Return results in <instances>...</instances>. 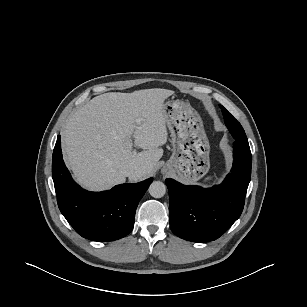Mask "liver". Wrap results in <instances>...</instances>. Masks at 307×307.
Segmentation results:
<instances>
[{"label":"liver","mask_w":307,"mask_h":307,"mask_svg":"<svg viewBox=\"0 0 307 307\" xmlns=\"http://www.w3.org/2000/svg\"><path fill=\"white\" fill-rule=\"evenodd\" d=\"M173 94L160 88L110 92L77 110L62 131L64 158L76 181L100 191L124 183L129 168L141 171L132 181L149 177L167 142L163 106ZM131 138L143 151L132 150Z\"/></svg>","instance_id":"obj_1"}]
</instances>
